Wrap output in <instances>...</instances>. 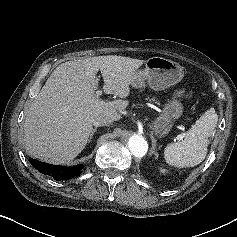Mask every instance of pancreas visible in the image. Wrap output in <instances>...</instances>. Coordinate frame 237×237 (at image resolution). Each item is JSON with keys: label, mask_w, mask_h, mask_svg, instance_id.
Returning a JSON list of instances; mask_svg holds the SVG:
<instances>
[{"label": "pancreas", "mask_w": 237, "mask_h": 237, "mask_svg": "<svg viewBox=\"0 0 237 237\" xmlns=\"http://www.w3.org/2000/svg\"><path fill=\"white\" fill-rule=\"evenodd\" d=\"M147 100H149V101H155V97H153V98H151V99H150V98H147ZM156 103L159 104V102H157V101H156Z\"/></svg>", "instance_id": "cf45deb5"}]
</instances>
